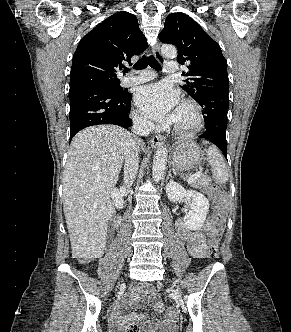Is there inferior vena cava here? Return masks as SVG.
<instances>
[{"mask_svg":"<svg viewBox=\"0 0 291 332\" xmlns=\"http://www.w3.org/2000/svg\"><path fill=\"white\" fill-rule=\"evenodd\" d=\"M154 128L152 122L141 117L133 119V132L137 135L131 142L130 148L125 158L124 166V184L126 188H130L134 183L139 167V146L137 144L138 136H148Z\"/></svg>","mask_w":291,"mask_h":332,"instance_id":"obj_1","label":"inferior vena cava"}]
</instances>
